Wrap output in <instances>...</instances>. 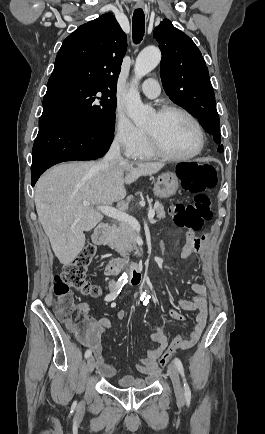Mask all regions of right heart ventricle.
Segmentation results:
<instances>
[{"label":"right heart ventricle","instance_id":"e07e8e85","mask_svg":"<svg viewBox=\"0 0 265 434\" xmlns=\"http://www.w3.org/2000/svg\"><path fill=\"white\" fill-rule=\"evenodd\" d=\"M154 157H155V154L153 153V151L150 148L149 141H147L145 148L142 151H139L138 154H133L132 158L136 159V160L145 161V160L153 159Z\"/></svg>","mask_w":265,"mask_h":434}]
</instances>
